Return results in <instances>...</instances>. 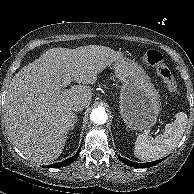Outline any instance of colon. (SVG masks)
<instances>
[{
    "instance_id": "obj_1",
    "label": "colon",
    "mask_w": 194,
    "mask_h": 194,
    "mask_svg": "<svg viewBox=\"0 0 194 194\" xmlns=\"http://www.w3.org/2000/svg\"><path fill=\"white\" fill-rule=\"evenodd\" d=\"M142 60L147 65L155 68L158 76L162 79L170 93L176 94L178 92L177 81L169 67L165 64L160 52L149 50L143 54Z\"/></svg>"
}]
</instances>
